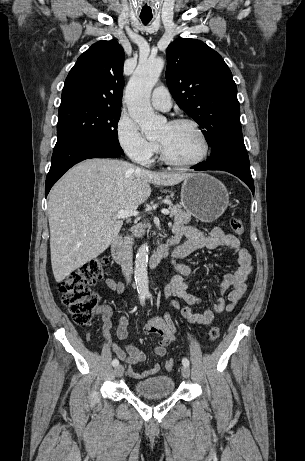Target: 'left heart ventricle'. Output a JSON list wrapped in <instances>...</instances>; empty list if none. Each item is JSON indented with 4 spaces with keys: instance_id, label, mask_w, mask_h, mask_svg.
Returning a JSON list of instances; mask_svg holds the SVG:
<instances>
[{
    "instance_id": "1",
    "label": "left heart ventricle",
    "mask_w": 305,
    "mask_h": 461,
    "mask_svg": "<svg viewBox=\"0 0 305 461\" xmlns=\"http://www.w3.org/2000/svg\"><path fill=\"white\" fill-rule=\"evenodd\" d=\"M157 141L163 144L170 157L178 161H192L202 152L200 137L188 125L173 126L167 123Z\"/></svg>"
}]
</instances>
